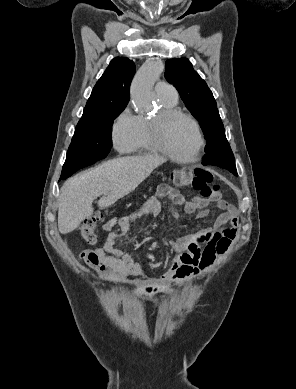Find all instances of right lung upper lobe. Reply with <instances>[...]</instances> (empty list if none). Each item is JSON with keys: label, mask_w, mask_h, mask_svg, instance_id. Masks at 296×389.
<instances>
[{"label": "right lung upper lobe", "mask_w": 296, "mask_h": 389, "mask_svg": "<svg viewBox=\"0 0 296 389\" xmlns=\"http://www.w3.org/2000/svg\"><path fill=\"white\" fill-rule=\"evenodd\" d=\"M134 74L135 64L132 60L114 58L96 83L82 118L125 107L129 101V88Z\"/></svg>", "instance_id": "1"}]
</instances>
